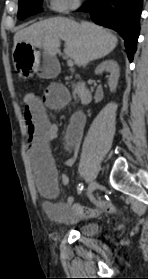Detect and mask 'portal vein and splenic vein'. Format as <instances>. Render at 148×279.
Listing matches in <instances>:
<instances>
[{"label": "portal vein and splenic vein", "mask_w": 148, "mask_h": 279, "mask_svg": "<svg viewBox=\"0 0 148 279\" xmlns=\"http://www.w3.org/2000/svg\"><path fill=\"white\" fill-rule=\"evenodd\" d=\"M67 64H68L69 67H72L74 65L72 59H68Z\"/></svg>", "instance_id": "portal-vein-and-splenic-vein-1"}]
</instances>
